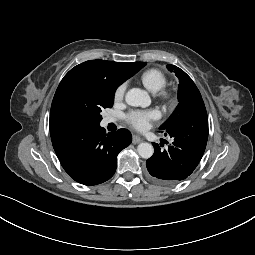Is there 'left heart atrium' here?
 I'll use <instances>...</instances> for the list:
<instances>
[{
  "instance_id": "1",
  "label": "left heart atrium",
  "mask_w": 255,
  "mask_h": 255,
  "mask_svg": "<svg viewBox=\"0 0 255 255\" xmlns=\"http://www.w3.org/2000/svg\"><path fill=\"white\" fill-rule=\"evenodd\" d=\"M158 116V112L155 110H134L126 115V120L133 128L144 131L150 127L151 122L156 120Z\"/></svg>"
}]
</instances>
